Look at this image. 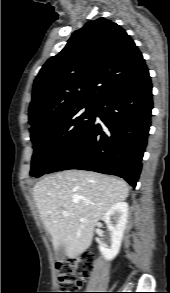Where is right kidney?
Listing matches in <instances>:
<instances>
[{
  "instance_id": "right-kidney-1",
  "label": "right kidney",
  "mask_w": 170,
  "mask_h": 293,
  "mask_svg": "<svg viewBox=\"0 0 170 293\" xmlns=\"http://www.w3.org/2000/svg\"><path fill=\"white\" fill-rule=\"evenodd\" d=\"M128 218V204L118 202L112 206L103 216V221L107 229L111 232V246L107 248L104 244H99V251L105 260L114 259L119 253L124 230Z\"/></svg>"
}]
</instances>
